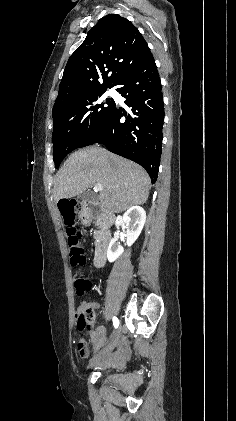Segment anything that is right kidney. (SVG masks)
Returning <instances> with one entry per match:
<instances>
[{
  "instance_id": "right-kidney-1",
  "label": "right kidney",
  "mask_w": 236,
  "mask_h": 421,
  "mask_svg": "<svg viewBox=\"0 0 236 421\" xmlns=\"http://www.w3.org/2000/svg\"><path fill=\"white\" fill-rule=\"evenodd\" d=\"M126 229V243L128 247H131L138 239L145 223H146V213L142 206H130L128 211L124 213L122 219ZM124 253L123 247L118 243V237L111 239L107 251V259L109 263H114L120 255Z\"/></svg>"
}]
</instances>
